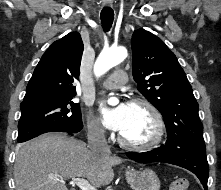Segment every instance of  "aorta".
<instances>
[{
    "label": "aorta",
    "instance_id": "obj_1",
    "mask_svg": "<svg viewBox=\"0 0 221 190\" xmlns=\"http://www.w3.org/2000/svg\"><path fill=\"white\" fill-rule=\"evenodd\" d=\"M126 57L127 50L124 47L103 50L94 65L95 75L98 77L103 75L112 67L121 63ZM109 102L114 103L115 99H110Z\"/></svg>",
    "mask_w": 221,
    "mask_h": 190
}]
</instances>
